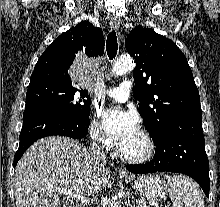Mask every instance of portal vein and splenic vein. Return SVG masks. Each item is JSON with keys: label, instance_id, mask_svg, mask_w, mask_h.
Instances as JSON below:
<instances>
[{"label": "portal vein and splenic vein", "instance_id": "1", "mask_svg": "<svg viewBox=\"0 0 220 207\" xmlns=\"http://www.w3.org/2000/svg\"><path fill=\"white\" fill-rule=\"evenodd\" d=\"M56 191H58L60 193H63L65 195H67V196H70L71 198L77 199V200L81 201L82 203H85V204H89L90 203V200H88V198H86L85 196H83L80 193H77V192L73 191L70 188H67V187H57ZM139 207H147V206L146 205H140Z\"/></svg>", "mask_w": 220, "mask_h": 207}]
</instances>
